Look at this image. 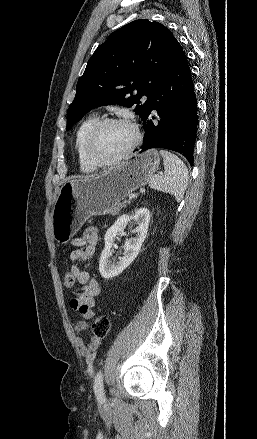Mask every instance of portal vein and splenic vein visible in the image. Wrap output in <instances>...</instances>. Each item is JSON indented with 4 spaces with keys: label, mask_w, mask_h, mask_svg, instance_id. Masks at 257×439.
<instances>
[{
    "label": "portal vein and splenic vein",
    "mask_w": 257,
    "mask_h": 439,
    "mask_svg": "<svg viewBox=\"0 0 257 439\" xmlns=\"http://www.w3.org/2000/svg\"><path fill=\"white\" fill-rule=\"evenodd\" d=\"M128 198H129V200H131V199L135 198V195H134V194H130V195L128 196Z\"/></svg>",
    "instance_id": "portal-vein-and-splenic-vein-1"
}]
</instances>
